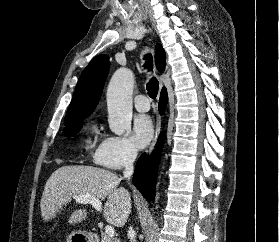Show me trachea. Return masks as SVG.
Instances as JSON below:
<instances>
[{"instance_id":"obj_1","label":"trachea","mask_w":279,"mask_h":242,"mask_svg":"<svg viewBox=\"0 0 279 242\" xmlns=\"http://www.w3.org/2000/svg\"><path fill=\"white\" fill-rule=\"evenodd\" d=\"M145 59V64L144 67L148 69L149 71L153 70V58L151 54H147L144 57ZM146 89L148 91V95L152 98L155 99L157 94H158V89H159V82L158 80L153 77L147 84H146Z\"/></svg>"}]
</instances>
